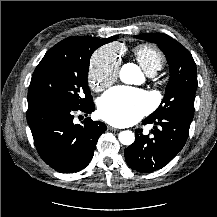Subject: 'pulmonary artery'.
I'll return each mask as SVG.
<instances>
[{"label": "pulmonary artery", "instance_id": "obj_1", "mask_svg": "<svg viewBox=\"0 0 217 217\" xmlns=\"http://www.w3.org/2000/svg\"><path fill=\"white\" fill-rule=\"evenodd\" d=\"M150 76H153L154 74L153 73H151V74H149Z\"/></svg>", "mask_w": 217, "mask_h": 217}]
</instances>
